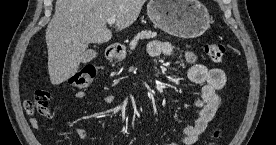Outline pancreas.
<instances>
[{"label": "pancreas", "mask_w": 276, "mask_h": 145, "mask_svg": "<svg viewBox=\"0 0 276 145\" xmlns=\"http://www.w3.org/2000/svg\"><path fill=\"white\" fill-rule=\"evenodd\" d=\"M157 36L156 32H151V31H142L138 33L130 42L129 48L130 50H134L138 44L139 40H144V39H151L155 38Z\"/></svg>", "instance_id": "cf45deb5"}]
</instances>
